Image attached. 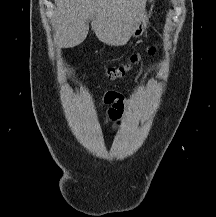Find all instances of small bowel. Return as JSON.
<instances>
[{"mask_svg":"<svg viewBox=\"0 0 216 217\" xmlns=\"http://www.w3.org/2000/svg\"><path fill=\"white\" fill-rule=\"evenodd\" d=\"M130 102L131 100L128 97H125L119 92H106L99 103L100 105L107 104L110 106L104 115V120L113 121L128 116L127 108Z\"/></svg>","mask_w":216,"mask_h":217,"instance_id":"small-bowel-1","label":"small bowel"}]
</instances>
